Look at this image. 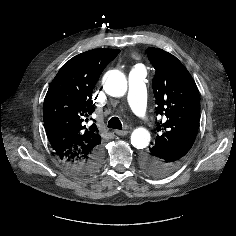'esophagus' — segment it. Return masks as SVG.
Returning <instances> with one entry per match:
<instances>
[{"instance_id": "34e87169", "label": "esophagus", "mask_w": 236, "mask_h": 236, "mask_svg": "<svg viewBox=\"0 0 236 236\" xmlns=\"http://www.w3.org/2000/svg\"><path fill=\"white\" fill-rule=\"evenodd\" d=\"M115 133L119 136H125L129 133V131L127 130H124V131H121V130H115Z\"/></svg>"}]
</instances>
